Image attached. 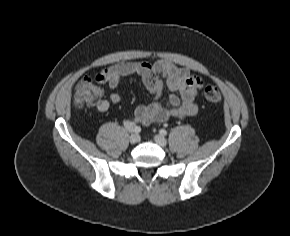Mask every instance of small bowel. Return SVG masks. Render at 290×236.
<instances>
[{
	"mask_svg": "<svg viewBox=\"0 0 290 236\" xmlns=\"http://www.w3.org/2000/svg\"><path fill=\"white\" fill-rule=\"evenodd\" d=\"M131 75L139 76L151 95L148 103L135 109V122L143 125L161 123L169 118H185L197 113L196 96L204 84L203 78L165 60L153 63L122 62L103 69L96 77L100 79V83L107 84L111 91L108 98H102L101 91L94 108L105 112L111 104H118L121 96L115 90L122 78ZM165 87L171 94L164 104L161 99ZM130 123L133 122L126 121L125 126Z\"/></svg>",
	"mask_w": 290,
	"mask_h": 236,
	"instance_id": "obj_1",
	"label": "small bowel"
}]
</instances>
